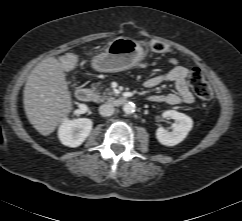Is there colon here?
I'll return each instance as SVG.
<instances>
[{
    "label": "colon",
    "mask_w": 242,
    "mask_h": 221,
    "mask_svg": "<svg viewBox=\"0 0 242 221\" xmlns=\"http://www.w3.org/2000/svg\"><path fill=\"white\" fill-rule=\"evenodd\" d=\"M145 47L156 53L168 52L169 46L160 41H152L145 45ZM76 63V56L74 54H65L61 58V64L64 69L72 68ZM189 84L196 94V96L203 101H210L213 98V91L209 83L205 80L202 72L198 68H193L189 74Z\"/></svg>",
    "instance_id": "5ec220e1"
}]
</instances>
